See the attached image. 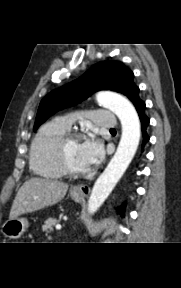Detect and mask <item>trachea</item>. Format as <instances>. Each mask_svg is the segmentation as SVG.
<instances>
[{
  "mask_svg": "<svg viewBox=\"0 0 181 288\" xmlns=\"http://www.w3.org/2000/svg\"><path fill=\"white\" fill-rule=\"evenodd\" d=\"M110 131H115V129H114V128H112V129H110Z\"/></svg>",
  "mask_w": 181,
  "mask_h": 288,
  "instance_id": "1",
  "label": "trachea"
}]
</instances>
